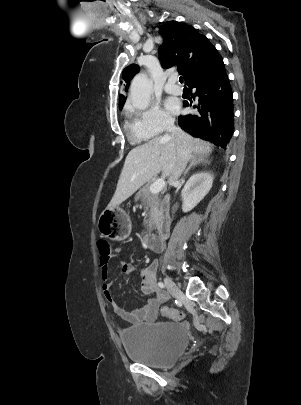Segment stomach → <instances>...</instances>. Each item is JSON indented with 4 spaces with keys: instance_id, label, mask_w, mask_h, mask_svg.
<instances>
[{
    "instance_id": "0dacf381",
    "label": "stomach",
    "mask_w": 301,
    "mask_h": 405,
    "mask_svg": "<svg viewBox=\"0 0 301 405\" xmlns=\"http://www.w3.org/2000/svg\"><path fill=\"white\" fill-rule=\"evenodd\" d=\"M98 230L103 237L122 241L131 233V221L128 214L119 207L106 208L99 216Z\"/></svg>"
}]
</instances>
